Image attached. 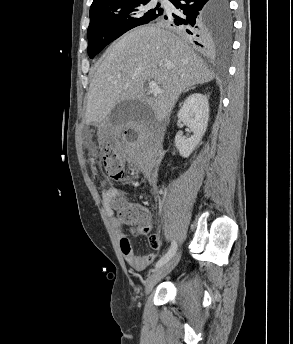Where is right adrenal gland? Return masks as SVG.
Instances as JSON below:
<instances>
[{
  "label": "right adrenal gland",
  "mask_w": 293,
  "mask_h": 344,
  "mask_svg": "<svg viewBox=\"0 0 293 344\" xmlns=\"http://www.w3.org/2000/svg\"><path fill=\"white\" fill-rule=\"evenodd\" d=\"M194 88L195 87L189 88V89L185 90L184 92H188L189 90L194 89Z\"/></svg>",
  "instance_id": "2a0ac1e0"
}]
</instances>
